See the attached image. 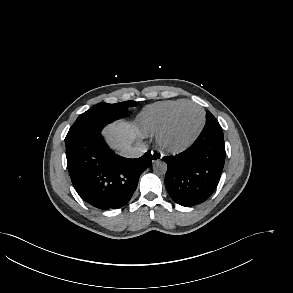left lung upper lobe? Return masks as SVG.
<instances>
[{
    "mask_svg": "<svg viewBox=\"0 0 293 293\" xmlns=\"http://www.w3.org/2000/svg\"><path fill=\"white\" fill-rule=\"evenodd\" d=\"M211 119L217 121L216 118L208 111L206 113V121L211 120Z\"/></svg>",
    "mask_w": 293,
    "mask_h": 293,
    "instance_id": "5c2ea615",
    "label": "left lung upper lobe"
}]
</instances>
